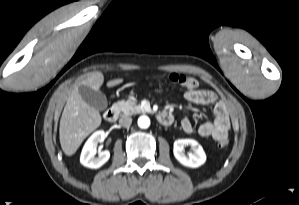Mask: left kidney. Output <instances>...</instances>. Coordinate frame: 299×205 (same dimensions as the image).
<instances>
[{"label": "left kidney", "mask_w": 299, "mask_h": 205, "mask_svg": "<svg viewBox=\"0 0 299 205\" xmlns=\"http://www.w3.org/2000/svg\"><path fill=\"white\" fill-rule=\"evenodd\" d=\"M191 146L194 153H190L188 156L184 153L185 146ZM173 153L175 158L184 166L190 168H197L203 165L206 161V154L202 146L193 139H178L174 142Z\"/></svg>", "instance_id": "obj_1"}]
</instances>
